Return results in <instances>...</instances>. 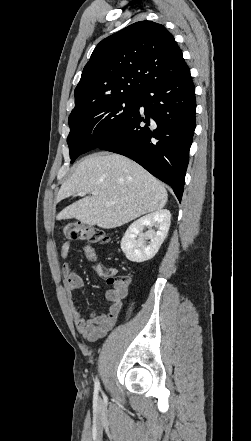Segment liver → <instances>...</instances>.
Masks as SVG:
<instances>
[{
    "instance_id": "6515ba94",
    "label": "liver",
    "mask_w": 251,
    "mask_h": 441,
    "mask_svg": "<svg viewBox=\"0 0 251 441\" xmlns=\"http://www.w3.org/2000/svg\"><path fill=\"white\" fill-rule=\"evenodd\" d=\"M79 192L86 196L57 214L104 229L122 226L141 215L161 210L167 202L164 185L136 162L119 154L86 157L61 186L57 202ZM107 202H111L107 205Z\"/></svg>"
}]
</instances>
